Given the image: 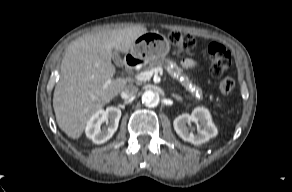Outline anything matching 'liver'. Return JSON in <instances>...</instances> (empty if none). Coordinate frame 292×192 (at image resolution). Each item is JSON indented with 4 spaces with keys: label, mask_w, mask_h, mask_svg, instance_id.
Wrapping results in <instances>:
<instances>
[{
    "label": "liver",
    "mask_w": 292,
    "mask_h": 192,
    "mask_svg": "<svg viewBox=\"0 0 292 192\" xmlns=\"http://www.w3.org/2000/svg\"><path fill=\"white\" fill-rule=\"evenodd\" d=\"M146 32L142 26L103 30L85 34L67 47L53 108L59 128L68 137L78 139L89 119L126 87V79L116 78L103 88L115 73L112 50L129 52L135 40Z\"/></svg>",
    "instance_id": "liver-1"
}]
</instances>
